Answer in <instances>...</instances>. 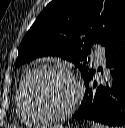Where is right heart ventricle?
I'll return each instance as SVG.
<instances>
[{
  "mask_svg": "<svg viewBox=\"0 0 125 128\" xmlns=\"http://www.w3.org/2000/svg\"><path fill=\"white\" fill-rule=\"evenodd\" d=\"M26 76V75H25ZM25 76L21 79L17 90H16V109H17V114L20 120L26 124H37L39 121L34 119L32 115H30L24 105L23 102V97H22V87H23V82L25 79Z\"/></svg>",
  "mask_w": 125,
  "mask_h": 128,
  "instance_id": "1",
  "label": "right heart ventricle"
}]
</instances>
